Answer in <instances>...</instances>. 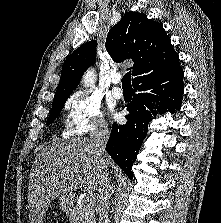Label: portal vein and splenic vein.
Returning <instances> with one entry per match:
<instances>
[{"mask_svg":"<svg viewBox=\"0 0 221 223\" xmlns=\"http://www.w3.org/2000/svg\"><path fill=\"white\" fill-rule=\"evenodd\" d=\"M94 201H95V198L89 194L85 197V202L88 204V205H92L94 204Z\"/></svg>","mask_w":221,"mask_h":223,"instance_id":"obj_1","label":"portal vein and splenic vein"}]
</instances>
